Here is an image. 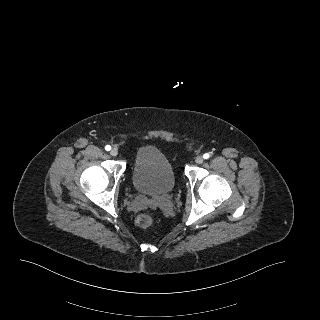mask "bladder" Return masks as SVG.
Returning a JSON list of instances; mask_svg holds the SVG:
<instances>
[{"label":"bladder","mask_w":320,"mask_h":320,"mask_svg":"<svg viewBox=\"0 0 320 320\" xmlns=\"http://www.w3.org/2000/svg\"><path fill=\"white\" fill-rule=\"evenodd\" d=\"M132 181L134 188L140 194L149 196L169 194L176 185L170 161L154 146H144L136 152Z\"/></svg>","instance_id":"obj_1"}]
</instances>
